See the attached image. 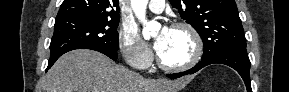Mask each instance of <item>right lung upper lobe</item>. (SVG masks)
<instances>
[{"mask_svg": "<svg viewBox=\"0 0 289 92\" xmlns=\"http://www.w3.org/2000/svg\"><path fill=\"white\" fill-rule=\"evenodd\" d=\"M119 12L118 0H64L56 20L75 17L117 19Z\"/></svg>", "mask_w": 289, "mask_h": 92, "instance_id": "1", "label": "right lung upper lobe"}]
</instances>
